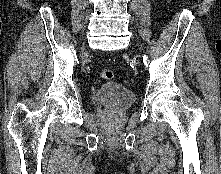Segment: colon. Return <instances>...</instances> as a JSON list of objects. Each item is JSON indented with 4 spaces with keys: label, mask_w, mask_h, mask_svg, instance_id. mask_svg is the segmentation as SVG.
Masks as SVG:
<instances>
[{
    "label": "colon",
    "mask_w": 221,
    "mask_h": 174,
    "mask_svg": "<svg viewBox=\"0 0 221 174\" xmlns=\"http://www.w3.org/2000/svg\"><path fill=\"white\" fill-rule=\"evenodd\" d=\"M100 76L104 80H112L114 74L110 69H103L100 72Z\"/></svg>",
    "instance_id": "1"
}]
</instances>
